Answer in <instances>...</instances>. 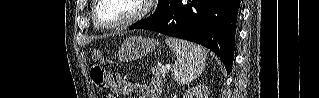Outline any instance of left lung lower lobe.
Returning <instances> with one entry per match:
<instances>
[{
  "label": "left lung lower lobe",
  "mask_w": 319,
  "mask_h": 98,
  "mask_svg": "<svg viewBox=\"0 0 319 98\" xmlns=\"http://www.w3.org/2000/svg\"><path fill=\"white\" fill-rule=\"evenodd\" d=\"M240 0H165L162 16L143 28L201 44L232 68Z\"/></svg>",
  "instance_id": "1"
}]
</instances>
